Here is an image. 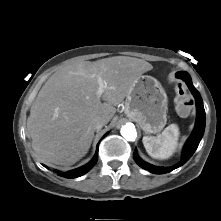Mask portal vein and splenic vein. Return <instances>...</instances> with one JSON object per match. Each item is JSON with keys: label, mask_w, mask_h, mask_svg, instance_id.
Segmentation results:
<instances>
[{"label": "portal vein and splenic vein", "mask_w": 221, "mask_h": 221, "mask_svg": "<svg viewBox=\"0 0 221 221\" xmlns=\"http://www.w3.org/2000/svg\"><path fill=\"white\" fill-rule=\"evenodd\" d=\"M98 83H99V88L97 91V95L100 97L106 88V84L103 82L101 77H98Z\"/></svg>", "instance_id": "obj_1"}]
</instances>
